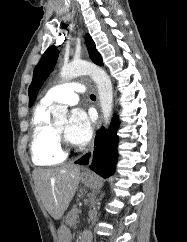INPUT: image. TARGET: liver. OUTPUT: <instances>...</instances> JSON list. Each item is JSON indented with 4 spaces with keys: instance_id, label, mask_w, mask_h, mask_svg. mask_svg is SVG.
<instances>
[{
    "instance_id": "liver-1",
    "label": "liver",
    "mask_w": 187,
    "mask_h": 242,
    "mask_svg": "<svg viewBox=\"0 0 187 242\" xmlns=\"http://www.w3.org/2000/svg\"><path fill=\"white\" fill-rule=\"evenodd\" d=\"M33 177L44 207L55 220H59L78 188L80 167L69 164L55 169H36Z\"/></svg>"
}]
</instances>
